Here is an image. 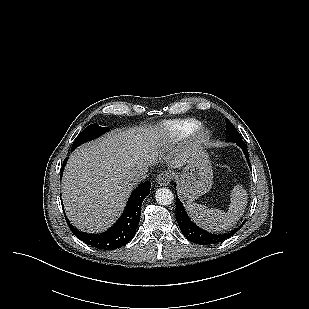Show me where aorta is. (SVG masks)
<instances>
[{"mask_svg":"<svg viewBox=\"0 0 309 309\" xmlns=\"http://www.w3.org/2000/svg\"><path fill=\"white\" fill-rule=\"evenodd\" d=\"M155 198L159 204L167 206L173 202L174 194L168 188H159L155 193Z\"/></svg>","mask_w":309,"mask_h":309,"instance_id":"1","label":"aorta"}]
</instances>
